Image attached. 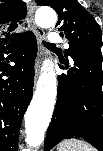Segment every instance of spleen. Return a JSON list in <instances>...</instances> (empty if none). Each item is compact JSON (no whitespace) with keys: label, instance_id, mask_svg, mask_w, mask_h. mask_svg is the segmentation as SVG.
<instances>
[{"label":"spleen","instance_id":"1","mask_svg":"<svg viewBox=\"0 0 103 151\" xmlns=\"http://www.w3.org/2000/svg\"><path fill=\"white\" fill-rule=\"evenodd\" d=\"M57 151H96V149L87 142L73 138L62 141L58 145Z\"/></svg>","mask_w":103,"mask_h":151}]
</instances>
